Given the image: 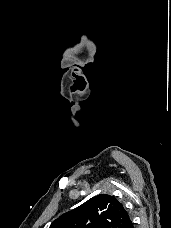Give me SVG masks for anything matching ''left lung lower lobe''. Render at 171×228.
<instances>
[{"mask_svg":"<svg viewBox=\"0 0 171 228\" xmlns=\"http://www.w3.org/2000/svg\"><path fill=\"white\" fill-rule=\"evenodd\" d=\"M122 228H133V223L131 219H129L123 226Z\"/></svg>","mask_w":171,"mask_h":228,"instance_id":"left-lung-lower-lobe-1","label":"left lung lower lobe"}]
</instances>
